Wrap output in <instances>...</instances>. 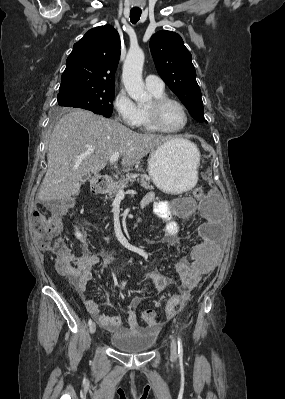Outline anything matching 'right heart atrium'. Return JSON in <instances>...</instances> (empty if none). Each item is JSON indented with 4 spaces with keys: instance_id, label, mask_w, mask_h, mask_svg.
<instances>
[{
    "instance_id": "right-heart-atrium-1",
    "label": "right heart atrium",
    "mask_w": 285,
    "mask_h": 399,
    "mask_svg": "<svg viewBox=\"0 0 285 399\" xmlns=\"http://www.w3.org/2000/svg\"><path fill=\"white\" fill-rule=\"evenodd\" d=\"M113 108L116 117L128 127H136L139 122L138 107L129 95L121 90L113 101Z\"/></svg>"
}]
</instances>
